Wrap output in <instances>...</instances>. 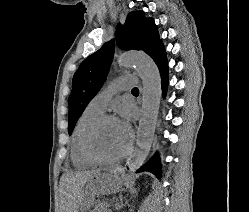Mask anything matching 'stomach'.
Wrapping results in <instances>:
<instances>
[{
    "instance_id": "0dacf381",
    "label": "stomach",
    "mask_w": 249,
    "mask_h": 212,
    "mask_svg": "<svg viewBox=\"0 0 249 212\" xmlns=\"http://www.w3.org/2000/svg\"><path fill=\"white\" fill-rule=\"evenodd\" d=\"M119 184H125V175H94V178L88 179L80 210H90L92 204L99 203L94 198L93 189L95 193H122Z\"/></svg>"
}]
</instances>
